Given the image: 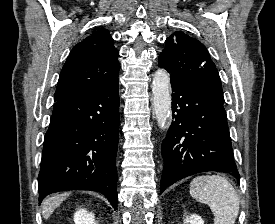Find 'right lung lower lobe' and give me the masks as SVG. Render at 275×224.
<instances>
[{
  "label": "right lung lower lobe",
  "mask_w": 275,
  "mask_h": 224,
  "mask_svg": "<svg viewBox=\"0 0 275 224\" xmlns=\"http://www.w3.org/2000/svg\"><path fill=\"white\" fill-rule=\"evenodd\" d=\"M119 93L113 86L57 101L45 134L39 203L64 190H94L117 210Z\"/></svg>",
  "instance_id": "right-lung-lower-lobe-1"
}]
</instances>
